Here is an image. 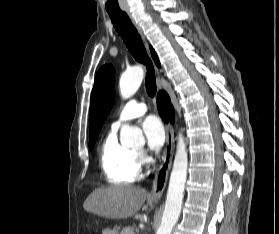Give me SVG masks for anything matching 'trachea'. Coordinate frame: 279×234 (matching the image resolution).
I'll return each mask as SVG.
<instances>
[{"instance_id":"3493384b","label":"trachea","mask_w":279,"mask_h":234,"mask_svg":"<svg viewBox=\"0 0 279 234\" xmlns=\"http://www.w3.org/2000/svg\"><path fill=\"white\" fill-rule=\"evenodd\" d=\"M112 23L122 37L128 50L133 57L140 63L144 64L147 68L145 86L146 91L150 97L156 94V79L153 64L147 55L146 49L143 45L142 39L131 23L128 15L125 12H109Z\"/></svg>"}]
</instances>
